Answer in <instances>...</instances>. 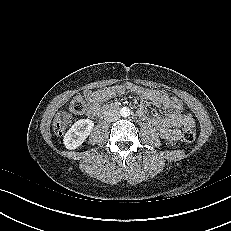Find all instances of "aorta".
<instances>
[{
  "instance_id": "762f6f07",
  "label": "aorta",
  "mask_w": 231,
  "mask_h": 231,
  "mask_svg": "<svg viewBox=\"0 0 231 231\" xmlns=\"http://www.w3.org/2000/svg\"><path fill=\"white\" fill-rule=\"evenodd\" d=\"M120 115L122 117H128L130 115V109L128 107H122L120 109Z\"/></svg>"
}]
</instances>
